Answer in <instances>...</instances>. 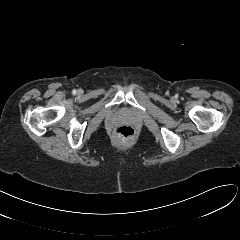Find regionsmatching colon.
Returning a JSON list of instances; mask_svg holds the SVG:
<instances>
[{
  "mask_svg": "<svg viewBox=\"0 0 240 240\" xmlns=\"http://www.w3.org/2000/svg\"><path fill=\"white\" fill-rule=\"evenodd\" d=\"M116 134L122 138H125V139H128V138H131L134 133H135V130L132 126H129V125H121V126H118L115 130Z\"/></svg>",
  "mask_w": 240,
  "mask_h": 240,
  "instance_id": "5ec220e1",
  "label": "colon"
}]
</instances>
